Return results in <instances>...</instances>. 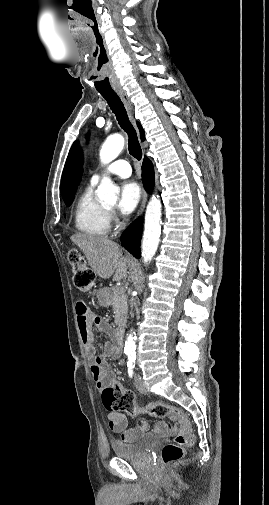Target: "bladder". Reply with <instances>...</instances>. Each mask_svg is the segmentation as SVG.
<instances>
[{
	"label": "bladder",
	"instance_id": "31cf9c89",
	"mask_svg": "<svg viewBox=\"0 0 269 505\" xmlns=\"http://www.w3.org/2000/svg\"><path fill=\"white\" fill-rule=\"evenodd\" d=\"M158 440L152 435H144L132 442H112V450L118 458L140 459L147 451L157 444Z\"/></svg>",
	"mask_w": 269,
	"mask_h": 505
}]
</instances>
